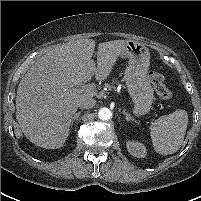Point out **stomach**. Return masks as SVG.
I'll use <instances>...</instances> for the list:
<instances>
[{"instance_id": "0dacf381", "label": "stomach", "mask_w": 201, "mask_h": 201, "mask_svg": "<svg viewBox=\"0 0 201 201\" xmlns=\"http://www.w3.org/2000/svg\"><path fill=\"white\" fill-rule=\"evenodd\" d=\"M119 56L128 59L124 81L134 103V112L144 115L149 112L154 99V91L147 77L149 49L142 43L127 40Z\"/></svg>"}]
</instances>
